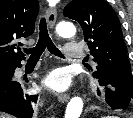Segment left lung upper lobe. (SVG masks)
Listing matches in <instances>:
<instances>
[{
  "instance_id": "left-lung-upper-lobe-1",
  "label": "left lung upper lobe",
  "mask_w": 133,
  "mask_h": 118,
  "mask_svg": "<svg viewBox=\"0 0 133 118\" xmlns=\"http://www.w3.org/2000/svg\"><path fill=\"white\" fill-rule=\"evenodd\" d=\"M82 27L90 54L97 63L93 76L133 98V76L117 15L105 0H72L63 11ZM99 96V89H97Z\"/></svg>"
}]
</instances>
